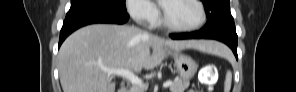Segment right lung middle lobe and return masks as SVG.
<instances>
[{"mask_svg":"<svg viewBox=\"0 0 296 92\" xmlns=\"http://www.w3.org/2000/svg\"><path fill=\"white\" fill-rule=\"evenodd\" d=\"M78 4H97L112 10L126 11L125 0H71V6Z\"/></svg>","mask_w":296,"mask_h":92,"instance_id":"obj_1","label":"right lung middle lobe"}]
</instances>
